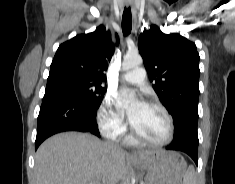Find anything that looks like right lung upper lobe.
I'll return each mask as SVG.
<instances>
[{"label": "right lung upper lobe", "instance_id": "right-lung-upper-lobe-1", "mask_svg": "<svg viewBox=\"0 0 235 184\" xmlns=\"http://www.w3.org/2000/svg\"><path fill=\"white\" fill-rule=\"evenodd\" d=\"M113 53L111 33L103 25L92 33L75 36L57 49L46 88L60 87L69 78L101 85Z\"/></svg>", "mask_w": 235, "mask_h": 184}]
</instances>
